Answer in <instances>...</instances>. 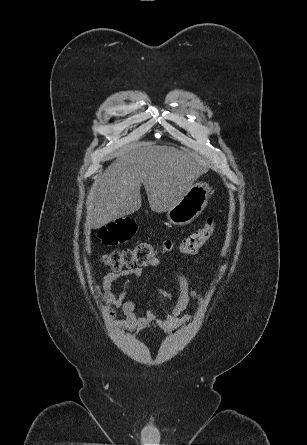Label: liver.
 Returning a JSON list of instances; mask_svg holds the SVG:
<instances>
[{"label":"liver","instance_id":"6515ba94","mask_svg":"<svg viewBox=\"0 0 307 445\" xmlns=\"http://www.w3.org/2000/svg\"><path fill=\"white\" fill-rule=\"evenodd\" d=\"M113 156L114 162L107 166L87 202L91 229L139 210L142 184L151 210L167 212L208 170L203 168L207 160L195 152L154 142L124 144Z\"/></svg>","mask_w":307,"mask_h":445}]
</instances>
